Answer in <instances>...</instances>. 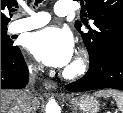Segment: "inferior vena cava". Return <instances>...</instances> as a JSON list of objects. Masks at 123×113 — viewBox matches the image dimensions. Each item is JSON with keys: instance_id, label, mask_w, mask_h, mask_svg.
I'll return each mask as SVG.
<instances>
[{"instance_id": "obj_1", "label": "inferior vena cava", "mask_w": 123, "mask_h": 113, "mask_svg": "<svg viewBox=\"0 0 123 113\" xmlns=\"http://www.w3.org/2000/svg\"><path fill=\"white\" fill-rule=\"evenodd\" d=\"M40 70L39 67L35 65L30 66V82L33 84L35 83V79L37 76L38 71ZM35 111V98L32 94L26 93V102L23 107V113H34Z\"/></svg>"}]
</instances>
